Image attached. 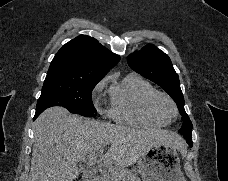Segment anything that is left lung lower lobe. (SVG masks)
<instances>
[{
    "mask_svg": "<svg viewBox=\"0 0 228 181\" xmlns=\"http://www.w3.org/2000/svg\"><path fill=\"white\" fill-rule=\"evenodd\" d=\"M190 147H192V133H186L183 135Z\"/></svg>",
    "mask_w": 228,
    "mask_h": 181,
    "instance_id": "left-lung-lower-lobe-1",
    "label": "left lung lower lobe"
}]
</instances>
